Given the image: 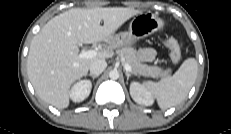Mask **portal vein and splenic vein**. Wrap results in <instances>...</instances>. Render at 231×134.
Wrapping results in <instances>:
<instances>
[{"instance_id":"obj_1","label":"portal vein and splenic vein","mask_w":231,"mask_h":134,"mask_svg":"<svg viewBox=\"0 0 231 134\" xmlns=\"http://www.w3.org/2000/svg\"><path fill=\"white\" fill-rule=\"evenodd\" d=\"M97 55V51L96 50H88V51H82L79 54L80 58H94ZM124 69L128 72L132 71L131 66L128 63H124Z\"/></svg>"}]
</instances>
